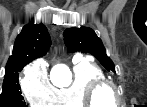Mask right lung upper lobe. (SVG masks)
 I'll use <instances>...</instances> for the list:
<instances>
[{
  "label": "right lung upper lobe",
  "instance_id": "right-lung-upper-lobe-1",
  "mask_svg": "<svg viewBox=\"0 0 147 107\" xmlns=\"http://www.w3.org/2000/svg\"><path fill=\"white\" fill-rule=\"evenodd\" d=\"M50 45L51 40L45 25H25L15 40L12 55L6 64L5 76L19 72L23 63L44 56Z\"/></svg>",
  "mask_w": 147,
  "mask_h": 107
}]
</instances>
